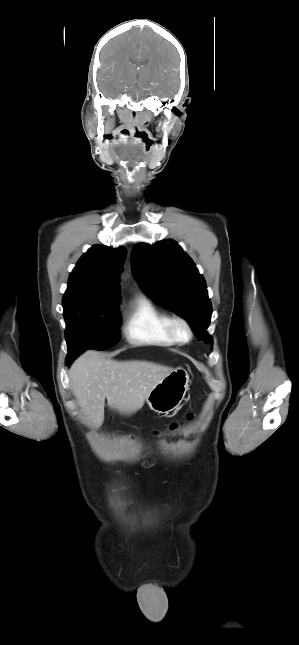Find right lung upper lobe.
<instances>
[{"label": "right lung upper lobe", "mask_w": 299, "mask_h": 645, "mask_svg": "<svg viewBox=\"0 0 299 645\" xmlns=\"http://www.w3.org/2000/svg\"><path fill=\"white\" fill-rule=\"evenodd\" d=\"M125 256V247H91L70 274L63 304L118 302L119 275Z\"/></svg>", "instance_id": "cb5924a9"}]
</instances>
